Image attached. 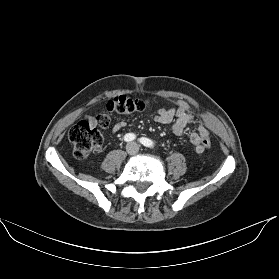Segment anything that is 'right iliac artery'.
Returning a JSON list of instances; mask_svg holds the SVG:
<instances>
[{
	"mask_svg": "<svg viewBox=\"0 0 279 279\" xmlns=\"http://www.w3.org/2000/svg\"><path fill=\"white\" fill-rule=\"evenodd\" d=\"M135 138H136V135H134L133 133H128L124 136V140L126 142L133 141Z\"/></svg>",
	"mask_w": 279,
	"mask_h": 279,
	"instance_id": "82829eb1",
	"label": "right iliac artery"
}]
</instances>
